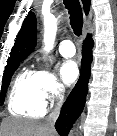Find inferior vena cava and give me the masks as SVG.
Wrapping results in <instances>:
<instances>
[{
	"label": "inferior vena cava",
	"mask_w": 117,
	"mask_h": 136,
	"mask_svg": "<svg viewBox=\"0 0 117 136\" xmlns=\"http://www.w3.org/2000/svg\"><path fill=\"white\" fill-rule=\"evenodd\" d=\"M62 99L63 96L60 97V102L62 101ZM60 108V104H58V106L52 111V113L49 115L48 119L45 122L46 126L51 130H54V123L59 116Z\"/></svg>",
	"instance_id": "1"
}]
</instances>
